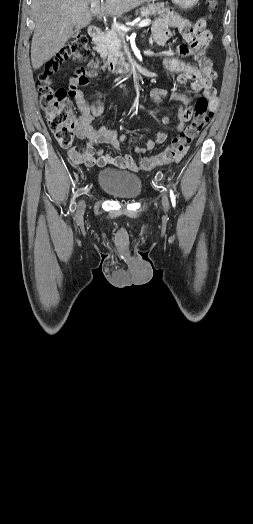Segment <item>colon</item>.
I'll return each instance as SVG.
<instances>
[{
    "mask_svg": "<svg viewBox=\"0 0 253 524\" xmlns=\"http://www.w3.org/2000/svg\"><path fill=\"white\" fill-rule=\"evenodd\" d=\"M208 6L211 11L217 10L219 0H208ZM68 60L86 62V67L76 69L74 74L68 77V84L71 86L69 90L57 88L52 84L51 76ZM105 60L104 55L99 57V61L92 58L89 38L81 34L73 39L56 58L48 62L45 70L38 77V94L48 126L62 148H70L73 145L75 131L79 127L73 112L72 99L81 95L80 87L86 86L89 81L95 84L98 79L103 78ZM211 116L208 100L200 97L196 102L190 124L159 155L141 159V168L151 170L179 161Z\"/></svg>",
    "mask_w": 253,
    "mask_h": 524,
    "instance_id": "1",
    "label": "colon"
}]
</instances>
